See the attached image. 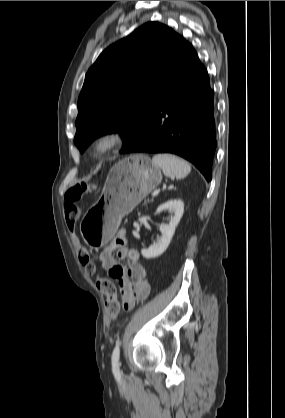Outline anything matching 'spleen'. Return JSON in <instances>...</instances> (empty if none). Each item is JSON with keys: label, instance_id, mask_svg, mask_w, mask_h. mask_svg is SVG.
<instances>
[{"label": "spleen", "instance_id": "3e777b00", "mask_svg": "<svg viewBox=\"0 0 285 418\" xmlns=\"http://www.w3.org/2000/svg\"><path fill=\"white\" fill-rule=\"evenodd\" d=\"M152 162L161 168L167 177L182 179L191 172L188 162L172 154H156L153 156Z\"/></svg>", "mask_w": 285, "mask_h": 418}]
</instances>
